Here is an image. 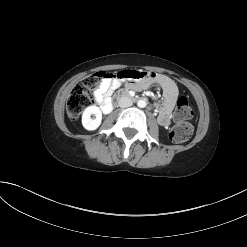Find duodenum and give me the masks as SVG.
I'll return each mask as SVG.
<instances>
[{
    "mask_svg": "<svg viewBox=\"0 0 247 247\" xmlns=\"http://www.w3.org/2000/svg\"><path fill=\"white\" fill-rule=\"evenodd\" d=\"M120 97L121 98L127 97V99H130V100H133V101H137V100H141V99L149 101V98H146L144 96H139V97L133 98V97L128 96L127 91L119 90V91H116V94H114V96H113V105L114 106L118 105V99Z\"/></svg>",
    "mask_w": 247,
    "mask_h": 247,
    "instance_id": "duodenum-1",
    "label": "duodenum"
}]
</instances>
